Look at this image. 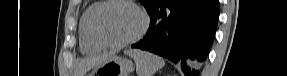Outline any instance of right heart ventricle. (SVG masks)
Segmentation results:
<instances>
[{
  "instance_id": "obj_1",
  "label": "right heart ventricle",
  "mask_w": 287,
  "mask_h": 76,
  "mask_svg": "<svg viewBox=\"0 0 287 76\" xmlns=\"http://www.w3.org/2000/svg\"><path fill=\"white\" fill-rule=\"evenodd\" d=\"M100 3L101 1L92 3L89 7L85 9L80 19V25H79L80 50L82 53L85 54L97 53L103 49L92 39L89 32V20L91 14Z\"/></svg>"
}]
</instances>
